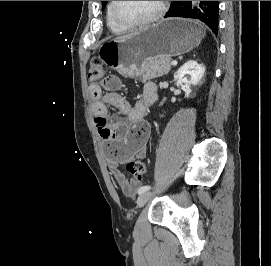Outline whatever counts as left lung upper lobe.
<instances>
[{"label":"left lung upper lobe","mask_w":271,"mask_h":266,"mask_svg":"<svg viewBox=\"0 0 271 266\" xmlns=\"http://www.w3.org/2000/svg\"><path fill=\"white\" fill-rule=\"evenodd\" d=\"M107 1H102V7L106 5Z\"/></svg>","instance_id":"left-lung-upper-lobe-1"}]
</instances>
